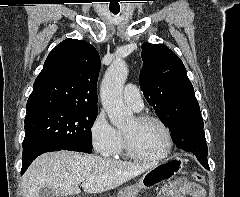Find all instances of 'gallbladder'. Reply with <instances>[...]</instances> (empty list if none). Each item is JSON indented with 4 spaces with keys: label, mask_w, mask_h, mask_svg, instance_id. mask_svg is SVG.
<instances>
[{
    "label": "gallbladder",
    "mask_w": 240,
    "mask_h": 197,
    "mask_svg": "<svg viewBox=\"0 0 240 197\" xmlns=\"http://www.w3.org/2000/svg\"><path fill=\"white\" fill-rule=\"evenodd\" d=\"M39 197H56V195L52 189L44 187L40 190Z\"/></svg>",
    "instance_id": "gallbladder-1"
}]
</instances>
